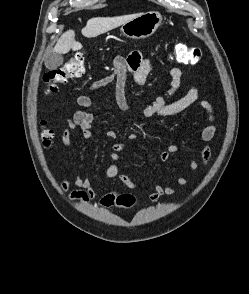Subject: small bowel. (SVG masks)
<instances>
[{
  "instance_id": "small-bowel-1",
  "label": "small bowel",
  "mask_w": 249,
  "mask_h": 294,
  "mask_svg": "<svg viewBox=\"0 0 249 294\" xmlns=\"http://www.w3.org/2000/svg\"><path fill=\"white\" fill-rule=\"evenodd\" d=\"M119 58L122 57H117L116 59ZM124 59L126 62L125 69L122 71H116L117 81L115 88V102L121 110L127 111L129 109V104L126 98L127 75H132L134 83L137 86L143 85L150 71L151 62L140 51H134ZM170 77L171 82L167 92L163 96L157 97L152 104L146 106L142 111V116L146 119L172 116L186 110L193 104H198V106L207 113L208 121L210 122L209 125L205 126L201 130L200 138L204 142H211L214 139L216 133V127L213 124L215 116L211 103L207 100L199 99V92L196 87H191L180 99L173 103H169V99L174 96L181 87L182 71L177 67H173L170 70ZM112 79V75L97 79L91 84L88 90L77 97V104L80 110L76 112L72 120H68L66 128L61 134V142L65 146L71 145L72 134L76 130L81 131V135L84 139L92 138L94 117L90 112L87 111V109L92 104L93 93L103 89L108 83L112 81ZM106 134L110 139H116L118 137V133L115 130H108ZM126 138L133 140L136 138V135L133 133H127ZM125 150L126 146L121 143H115L112 146V152L110 153L109 157L113 163L107 167L104 179H117L124 185L125 188L136 190L141 187V184L133 181L128 175L120 173L119 167L117 165V162L120 159V153ZM178 152V146L175 144H170L160 153V159L162 161H168ZM200 156L202 158L203 164L208 166L212 159L211 148L208 145H203L200 149ZM187 161L191 172H197L198 162L191 157H189ZM175 182L179 188H184L187 185V179L180 174L176 175ZM72 183L76 187L73 190L70 189ZM62 189L69 199L79 200L83 204H87L93 200L99 191V187L95 186L91 179L83 176H75L73 178L65 179L62 183ZM175 192L176 190L173 186L157 183L154 185L153 191L149 195V199L152 202H156L164 196L174 195ZM119 194L120 193L117 191L105 194L99 201V207L102 209L112 207L115 205Z\"/></svg>"
}]
</instances>
